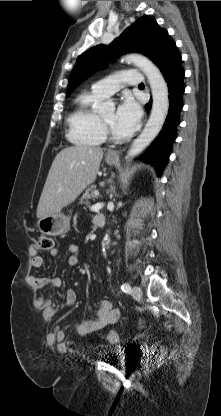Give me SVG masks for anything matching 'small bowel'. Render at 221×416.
Wrapping results in <instances>:
<instances>
[{"instance_id": "c3829d8e", "label": "small bowel", "mask_w": 221, "mask_h": 416, "mask_svg": "<svg viewBox=\"0 0 221 416\" xmlns=\"http://www.w3.org/2000/svg\"><path fill=\"white\" fill-rule=\"evenodd\" d=\"M68 251V257L66 263L69 266H74L79 262V246L75 243H69L66 246ZM59 250L54 248L51 250L52 255H57ZM43 265V258L38 254L36 248L31 251V272L29 279L32 285L37 289L42 288H59L62 284L61 279L58 277H42L36 274V270ZM76 301V293L72 289H68L65 294V303L67 306H71ZM35 303L37 306L43 309V314L47 319H51L57 311V305L53 298H45L39 296L36 298ZM120 316L119 310L114 307L111 301L101 300L98 304L97 313L94 319L74 324V329L80 336H86L94 333L109 324L115 323ZM56 336L62 338L64 331L58 329Z\"/></svg>"}]
</instances>
